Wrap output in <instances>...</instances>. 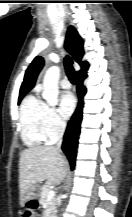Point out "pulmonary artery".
Segmentation results:
<instances>
[{
	"mask_svg": "<svg viewBox=\"0 0 132 217\" xmlns=\"http://www.w3.org/2000/svg\"><path fill=\"white\" fill-rule=\"evenodd\" d=\"M60 86L63 88V89H69L70 88V82L67 80V79H62L60 81Z\"/></svg>",
	"mask_w": 132,
	"mask_h": 217,
	"instance_id": "obj_1",
	"label": "pulmonary artery"
}]
</instances>
